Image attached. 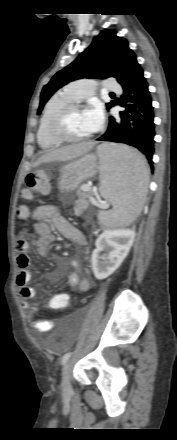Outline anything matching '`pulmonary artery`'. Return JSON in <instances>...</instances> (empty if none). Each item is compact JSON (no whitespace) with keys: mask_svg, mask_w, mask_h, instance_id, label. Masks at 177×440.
Returning a JSON list of instances; mask_svg holds the SVG:
<instances>
[{"mask_svg":"<svg viewBox=\"0 0 177 440\" xmlns=\"http://www.w3.org/2000/svg\"><path fill=\"white\" fill-rule=\"evenodd\" d=\"M96 81L91 79H81L71 83L66 89L68 93L77 101L86 99L94 94ZM108 91L120 93L121 87L118 83L108 78L104 83Z\"/></svg>","mask_w":177,"mask_h":440,"instance_id":"e3ab8cb5","label":"pulmonary artery"}]
</instances>
